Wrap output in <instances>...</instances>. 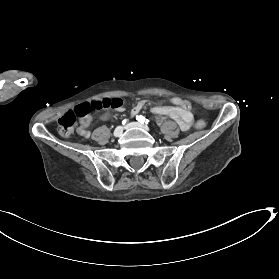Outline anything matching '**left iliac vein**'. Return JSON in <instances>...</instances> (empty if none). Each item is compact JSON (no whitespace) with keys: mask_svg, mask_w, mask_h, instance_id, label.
<instances>
[{"mask_svg":"<svg viewBox=\"0 0 279 279\" xmlns=\"http://www.w3.org/2000/svg\"><path fill=\"white\" fill-rule=\"evenodd\" d=\"M125 128H126V129H130V128H141V129H144V130H146V131H149L148 126L143 125V124H140V123H138V122H131V123L127 124Z\"/></svg>","mask_w":279,"mask_h":279,"instance_id":"4c4485c4","label":"left iliac vein"}]
</instances>
